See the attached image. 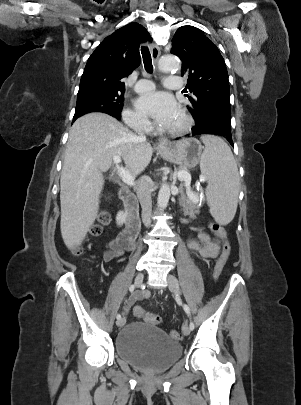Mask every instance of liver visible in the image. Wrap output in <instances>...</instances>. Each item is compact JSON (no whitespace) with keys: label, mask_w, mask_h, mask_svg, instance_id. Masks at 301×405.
<instances>
[{"label":"liver","mask_w":301,"mask_h":405,"mask_svg":"<svg viewBox=\"0 0 301 405\" xmlns=\"http://www.w3.org/2000/svg\"><path fill=\"white\" fill-rule=\"evenodd\" d=\"M153 148L115 118L90 113L69 132L60 178V229L68 247L80 245L94 223L106 172L114 156L123 158L133 176L150 163Z\"/></svg>","instance_id":"obj_1"}]
</instances>
